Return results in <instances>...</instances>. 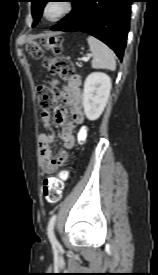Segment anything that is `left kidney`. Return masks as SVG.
<instances>
[{
    "mask_svg": "<svg viewBox=\"0 0 158 275\" xmlns=\"http://www.w3.org/2000/svg\"><path fill=\"white\" fill-rule=\"evenodd\" d=\"M111 78L103 72L89 74L84 82L83 108L90 121L97 120L108 102Z\"/></svg>",
    "mask_w": 158,
    "mask_h": 275,
    "instance_id": "obj_1",
    "label": "left kidney"
}]
</instances>
